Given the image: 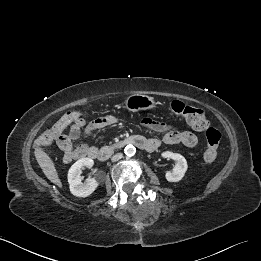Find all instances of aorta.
I'll use <instances>...</instances> for the list:
<instances>
[{
  "label": "aorta",
  "instance_id": "762f6f07",
  "mask_svg": "<svg viewBox=\"0 0 261 261\" xmlns=\"http://www.w3.org/2000/svg\"><path fill=\"white\" fill-rule=\"evenodd\" d=\"M124 153L126 156L129 157L134 156L136 153V148L133 145L129 144L124 148Z\"/></svg>",
  "mask_w": 261,
  "mask_h": 261
}]
</instances>
